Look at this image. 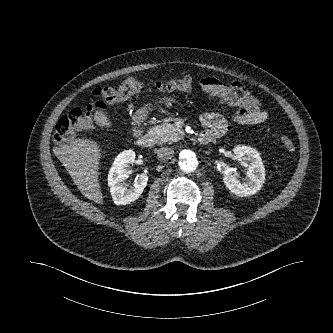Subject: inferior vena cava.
Here are the masks:
<instances>
[{
    "mask_svg": "<svg viewBox=\"0 0 333 333\" xmlns=\"http://www.w3.org/2000/svg\"><path fill=\"white\" fill-rule=\"evenodd\" d=\"M173 155H174L173 148L162 147L159 150H157V159L159 161H168L173 157Z\"/></svg>",
    "mask_w": 333,
    "mask_h": 333,
    "instance_id": "1",
    "label": "inferior vena cava"
}]
</instances>
